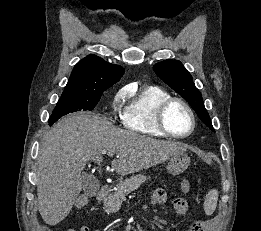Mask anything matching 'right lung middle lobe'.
Wrapping results in <instances>:
<instances>
[{
    "label": "right lung middle lobe",
    "mask_w": 261,
    "mask_h": 231,
    "mask_svg": "<svg viewBox=\"0 0 261 231\" xmlns=\"http://www.w3.org/2000/svg\"><path fill=\"white\" fill-rule=\"evenodd\" d=\"M102 92H63L50 119V126L62 116L81 110H93Z\"/></svg>",
    "instance_id": "right-lung-middle-lobe-1"
}]
</instances>
